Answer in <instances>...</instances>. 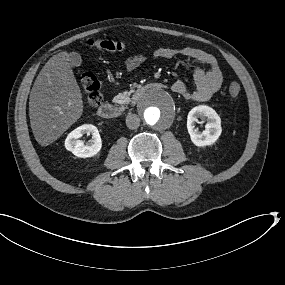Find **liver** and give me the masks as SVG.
Listing matches in <instances>:
<instances>
[{"label":"liver","instance_id":"1","mask_svg":"<svg viewBox=\"0 0 285 285\" xmlns=\"http://www.w3.org/2000/svg\"><path fill=\"white\" fill-rule=\"evenodd\" d=\"M80 87L69 54L53 55L37 76L29 97L30 124L36 141L47 146L57 140L82 115Z\"/></svg>","mask_w":285,"mask_h":285}]
</instances>
